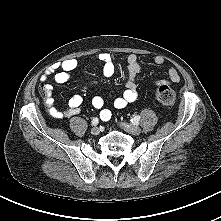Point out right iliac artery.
<instances>
[{
	"mask_svg": "<svg viewBox=\"0 0 221 221\" xmlns=\"http://www.w3.org/2000/svg\"><path fill=\"white\" fill-rule=\"evenodd\" d=\"M91 123H92L93 126H96L99 123L98 118H93Z\"/></svg>",
	"mask_w": 221,
	"mask_h": 221,
	"instance_id": "82829eb1",
	"label": "right iliac artery"
}]
</instances>
